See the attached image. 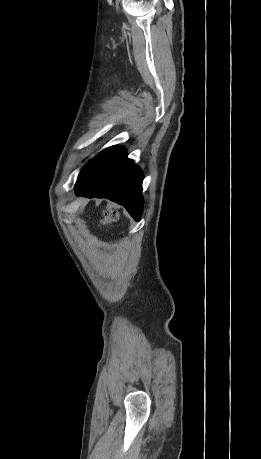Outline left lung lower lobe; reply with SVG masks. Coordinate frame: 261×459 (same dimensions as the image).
Returning <instances> with one entry per match:
<instances>
[{
  "label": "left lung lower lobe",
  "mask_w": 261,
  "mask_h": 459,
  "mask_svg": "<svg viewBox=\"0 0 261 459\" xmlns=\"http://www.w3.org/2000/svg\"><path fill=\"white\" fill-rule=\"evenodd\" d=\"M143 175L124 148L109 147L82 169L75 185L78 196L108 198L123 205L139 221L143 210Z\"/></svg>",
  "instance_id": "obj_1"
}]
</instances>
